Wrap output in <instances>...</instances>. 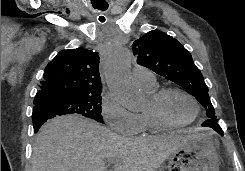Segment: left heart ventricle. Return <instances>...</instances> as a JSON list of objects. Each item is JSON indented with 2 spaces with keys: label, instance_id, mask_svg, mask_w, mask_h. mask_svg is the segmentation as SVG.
Segmentation results:
<instances>
[{
  "label": "left heart ventricle",
  "instance_id": "obj_1",
  "mask_svg": "<svg viewBox=\"0 0 245 171\" xmlns=\"http://www.w3.org/2000/svg\"><path fill=\"white\" fill-rule=\"evenodd\" d=\"M162 110L164 115L174 123H185L195 114L192 102L177 92H171L164 97Z\"/></svg>",
  "mask_w": 245,
  "mask_h": 171
}]
</instances>
